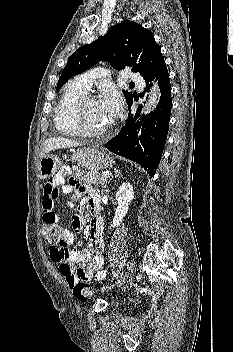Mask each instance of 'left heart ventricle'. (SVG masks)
Masks as SVG:
<instances>
[{
    "instance_id": "1",
    "label": "left heart ventricle",
    "mask_w": 233,
    "mask_h": 352,
    "mask_svg": "<svg viewBox=\"0 0 233 352\" xmlns=\"http://www.w3.org/2000/svg\"><path fill=\"white\" fill-rule=\"evenodd\" d=\"M84 120L89 128L96 130L105 129L111 123L97 100H91L85 104Z\"/></svg>"
}]
</instances>
